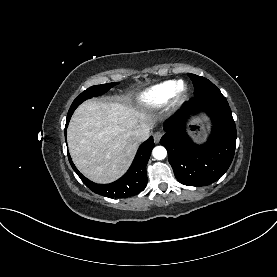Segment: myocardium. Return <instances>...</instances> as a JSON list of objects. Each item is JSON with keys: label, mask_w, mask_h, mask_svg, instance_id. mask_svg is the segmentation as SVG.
Returning a JSON list of instances; mask_svg holds the SVG:
<instances>
[{"label": "myocardium", "mask_w": 277, "mask_h": 277, "mask_svg": "<svg viewBox=\"0 0 277 277\" xmlns=\"http://www.w3.org/2000/svg\"><path fill=\"white\" fill-rule=\"evenodd\" d=\"M188 94V87L186 83L182 80L177 81L173 94L171 96V101L174 105H179L183 103Z\"/></svg>", "instance_id": "myocardium-1"}]
</instances>
